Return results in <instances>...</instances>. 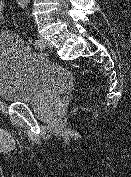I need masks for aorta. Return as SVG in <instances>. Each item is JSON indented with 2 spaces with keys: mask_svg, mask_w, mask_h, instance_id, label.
I'll use <instances>...</instances> for the list:
<instances>
[{
  "mask_svg": "<svg viewBox=\"0 0 131 177\" xmlns=\"http://www.w3.org/2000/svg\"><path fill=\"white\" fill-rule=\"evenodd\" d=\"M30 0H17L18 4L20 5H25L27 3H29Z\"/></svg>",
  "mask_w": 131,
  "mask_h": 177,
  "instance_id": "762f6f07",
  "label": "aorta"
}]
</instances>
